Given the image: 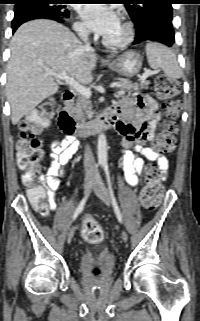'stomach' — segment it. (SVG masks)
Returning a JSON list of instances; mask_svg holds the SVG:
<instances>
[{
	"instance_id": "stomach-1",
	"label": "stomach",
	"mask_w": 200,
	"mask_h": 321,
	"mask_svg": "<svg viewBox=\"0 0 200 321\" xmlns=\"http://www.w3.org/2000/svg\"><path fill=\"white\" fill-rule=\"evenodd\" d=\"M142 61L138 52L129 50L109 62L108 67L119 75L130 78L140 71Z\"/></svg>"
}]
</instances>
